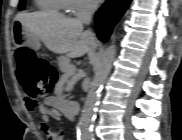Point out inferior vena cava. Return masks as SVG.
Wrapping results in <instances>:
<instances>
[{
	"mask_svg": "<svg viewBox=\"0 0 182 140\" xmlns=\"http://www.w3.org/2000/svg\"><path fill=\"white\" fill-rule=\"evenodd\" d=\"M98 3L95 0H83L77 15V21L84 24H90L92 15L96 11Z\"/></svg>",
	"mask_w": 182,
	"mask_h": 140,
	"instance_id": "obj_1",
	"label": "inferior vena cava"
}]
</instances>
